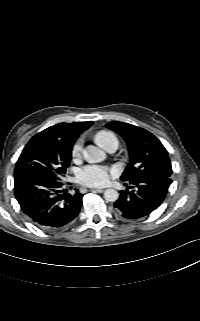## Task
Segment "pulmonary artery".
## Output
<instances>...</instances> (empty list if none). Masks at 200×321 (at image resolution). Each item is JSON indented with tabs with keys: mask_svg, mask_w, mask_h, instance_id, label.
<instances>
[{
	"mask_svg": "<svg viewBox=\"0 0 200 321\" xmlns=\"http://www.w3.org/2000/svg\"><path fill=\"white\" fill-rule=\"evenodd\" d=\"M116 147H117L116 145H111V146L106 147V150L109 152H113L116 149Z\"/></svg>",
	"mask_w": 200,
	"mask_h": 321,
	"instance_id": "1",
	"label": "pulmonary artery"
}]
</instances>
